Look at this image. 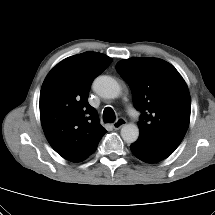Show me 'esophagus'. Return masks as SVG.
Here are the masks:
<instances>
[{"mask_svg":"<svg viewBox=\"0 0 215 215\" xmlns=\"http://www.w3.org/2000/svg\"><path fill=\"white\" fill-rule=\"evenodd\" d=\"M127 121L124 118H119L117 121H115L112 124V127L116 130L120 129L121 127H123L124 125H126Z\"/></svg>","mask_w":215,"mask_h":215,"instance_id":"esophagus-1","label":"esophagus"}]
</instances>
